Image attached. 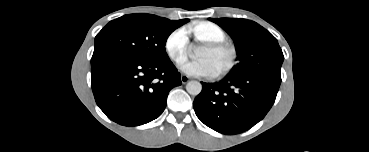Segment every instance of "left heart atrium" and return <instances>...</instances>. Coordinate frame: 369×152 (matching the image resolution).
Listing matches in <instances>:
<instances>
[{
  "instance_id": "obj_1",
  "label": "left heart atrium",
  "mask_w": 369,
  "mask_h": 152,
  "mask_svg": "<svg viewBox=\"0 0 369 152\" xmlns=\"http://www.w3.org/2000/svg\"><path fill=\"white\" fill-rule=\"evenodd\" d=\"M179 69L184 74L194 77H212L217 72L214 63L207 58L183 61Z\"/></svg>"
}]
</instances>
